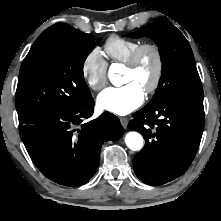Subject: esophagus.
I'll use <instances>...</instances> for the list:
<instances>
[{
  "label": "esophagus",
  "instance_id": "obj_1",
  "mask_svg": "<svg viewBox=\"0 0 221 221\" xmlns=\"http://www.w3.org/2000/svg\"><path fill=\"white\" fill-rule=\"evenodd\" d=\"M128 118L127 117H120V122H121V124H122V126L124 127V128H127V125H128Z\"/></svg>",
  "mask_w": 221,
  "mask_h": 221
}]
</instances>
